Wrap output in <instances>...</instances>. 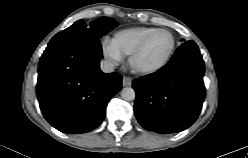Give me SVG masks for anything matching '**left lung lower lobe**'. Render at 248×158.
I'll use <instances>...</instances> for the list:
<instances>
[{"mask_svg":"<svg viewBox=\"0 0 248 158\" xmlns=\"http://www.w3.org/2000/svg\"><path fill=\"white\" fill-rule=\"evenodd\" d=\"M204 61L193 41L182 44L157 72L135 79L134 112L148 131L180 132L198 118L205 98Z\"/></svg>","mask_w":248,"mask_h":158,"instance_id":"obj_1","label":"left lung lower lobe"}]
</instances>
